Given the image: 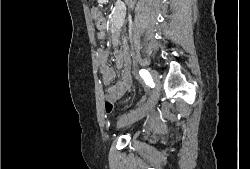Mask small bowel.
<instances>
[{"label":"small bowel","instance_id":"small-bowel-1","mask_svg":"<svg viewBox=\"0 0 250 169\" xmlns=\"http://www.w3.org/2000/svg\"><path fill=\"white\" fill-rule=\"evenodd\" d=\"M120 18L121 13L117 11L114 16V22L117 23ZM108 57L109 52L107 50L102 49L97 53V60L104 84L111 83L115 78V71L108 65ZM114 58L116 66L120 70V78L107 90L105 98L107 95H117V100H119L132 90L131 61L127 46L124 45L121 49L116 50Z\"/></svg>","mask_w":250,"mask_h":169}]
</instances>
